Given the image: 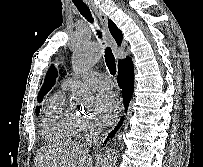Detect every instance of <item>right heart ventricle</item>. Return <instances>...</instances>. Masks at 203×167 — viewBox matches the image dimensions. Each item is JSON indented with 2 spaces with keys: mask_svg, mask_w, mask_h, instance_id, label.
<instances>
[{
  "mask_svg": "<svg viewBox=\"0 0 203 167\" xmlns=\"http://www.w3.org/2000/svg\"><path fill=\"white\" fill-rule=\"evenodd\" d=\"M65 89L52 95L46 102L41 129L42 135L50 143H67L74 140L82 129L81 118L66 104Z\"/></svg>",
  "mask_w": 203,
  "mask_h": 167,
  "instance_id": "obj_1",
  "label": "right heart ventricle"
}]
</instances>
